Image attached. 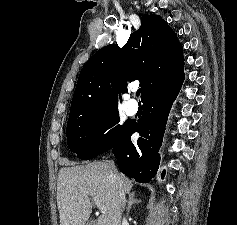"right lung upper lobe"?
Masks as SVG:
<instances>
[{
	"label": "right lung upper lobe",
	"instance_id": "right-lung-upper-lobe-1",
	"mask_svg": "<svg viewBox=\"0 0 237 225\" xmlns=\"http://www.w3.org/2000/svg\"><path fill=\"white\" fill-rule=\"evenodd\" d=\"M141 22L123 48L107 45L84 65L70 114L87 118L118 108L116 93L127 92L128 82L139 80L143 99L161 84L184 80L183 47L176 33L161 16L151 14ZM121 76L117 85L114 79Z\"/></svg>",
	"mask_w": 237,
	"mask_h": 225
}]
</instances>
